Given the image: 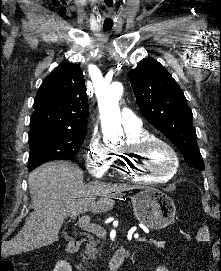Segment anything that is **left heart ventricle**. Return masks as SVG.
<instances>
[{
	"instance_id": "1",
	"label": "left heart ventricle",
	"mask_w": 221,
	"mask_h": 271,
	"mask_svg": "<svg viewBox=\"0 0 221 271\" xmlns=\"http://www.w3.org/2000/svg\"><path fill=\"white\" fill-rule=\"evenodd\" d=\"M151 141H156V140H151ZM160 153L162 152H159V149L153 148L152 152H148L147 155H144L148 157L147 161H142L143 160L142 156H135L134 160L137 161V163H147L148 166H160L161 163H167L165 158L159 157Z\"/></svg>"
}]
</instances>
